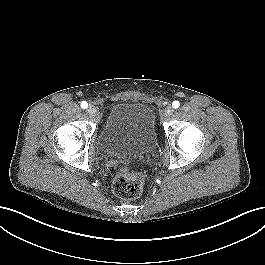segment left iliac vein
Masks as SVG:
<instances>
[{
	"label": "left iliac vein",
	"mask_w": 265,
	"mask_h": 265,
	"mask_svg": "<svg viewBox=\"0 0 265 265\" xmlns=\"http://www.w3.org/2000/svg\"><path fill=\"white\" fill-rule=\"evenodd\" d=\"M173 114V108L171 106H167L164 112V117H169Z\"/></svg>",
	"instance_id": "1"
}]
</instances>
